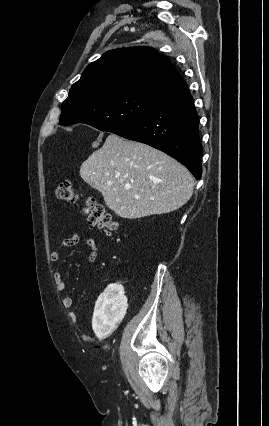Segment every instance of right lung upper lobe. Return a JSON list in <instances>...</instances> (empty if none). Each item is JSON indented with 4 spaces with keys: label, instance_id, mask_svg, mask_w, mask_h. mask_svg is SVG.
<instances>
[{
    "label": "right lung upper lobe",
    "instance_id": "cb5924a9",
    "mask_svg": "<svg viewBox=\"0 0 269 426\" xmlns=\"http://www.w3.org/2000/svg\"><path fill=\"white\" fill-rule=\"evenodd\" d=\"M182 77L167 57L145 46L120 48L106 52L86 67L72 85L69 95L85 98L105 92L141 89L159 92Z\"/></svg>",
    "mask_w": 269,
    "mask_h": 426
}]
</instances>
